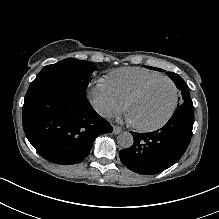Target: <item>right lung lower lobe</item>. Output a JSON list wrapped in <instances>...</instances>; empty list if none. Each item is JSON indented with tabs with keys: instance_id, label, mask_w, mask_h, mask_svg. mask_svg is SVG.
<instances>
[{
	"instance_id": "1",
	"label": "right lung lower lobe",
	"mask_w": 219,
	"mask_h": 219,
	"mask_svg": "<svg viewBox=\"0 0 219 219\" xmlns=\"http://www.w3.org/2000/svg\"><path fill=\"white\" fill-rule=\"evenodd\" d=\"M23 128L46 160L77 164L89 154L94 139L112 126L92 108L82 90L63 83H31L22 111Z\"/></svg>"
}]
</instances>
